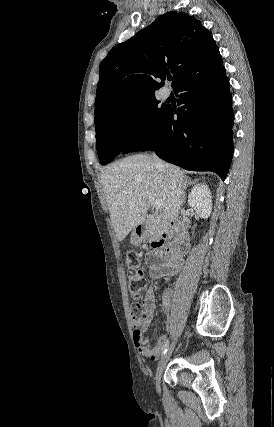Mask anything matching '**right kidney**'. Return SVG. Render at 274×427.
Wrapping results in <instances>:
<instances>
[{"instance_id":"1","label":"right kidney","mask_w":274,"mask_h":427,"mask_svg":"<svg viewBox=\"0 0 274 427\" xmlns=\"http://www.w3.org/2000/svg\"><path fill=\"white\" fill-rule=\"evenodd\" d=\"M188 204L200 217H209L212 212V196L208 186L197 184L189 194Z\"/></svg>"}]
</instances>
